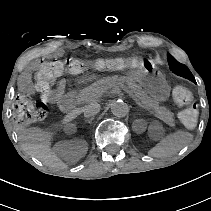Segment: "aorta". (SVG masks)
I'll return each instance as SVG.
<instances>
[{
	"label": "aorta",
	"mask_w": 211,
	"mask_h": 211,
	"mask_svg": "<svg viewBox=\"0 0 211 211\" xmlns=\"http://www.w3.org/2000/svg\"><path fill=\"white\" fill-rule=\"evenodd\" d=\"M111 112L116 117H125L129 113V106L122 100L111 103Z\"/></svg>",
	"instance_id": "obj_1"
}]
</instances>
